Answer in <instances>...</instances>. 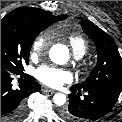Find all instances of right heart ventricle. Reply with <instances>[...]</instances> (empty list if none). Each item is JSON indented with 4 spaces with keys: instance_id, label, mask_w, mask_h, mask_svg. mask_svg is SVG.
I'll use <instances>...</instances> for the list:
<instances>
[{
    "instance_id": "1",
    "label": "right heart ventricle",
    "mask_w": 122,
    "mask_h": 122,
    "mask_svg": "<svg viewBox=\"0 0 122 122\" xmlns=\"http://www.w3.org/2000/svg\"><path fill=\"white\" fill-rule=\"evenodd\" d=\"M69 42L72 47L74 55L82 57L88 50L87 41L80 35L70 36Z\"/></svg>"
}]
</instances>
